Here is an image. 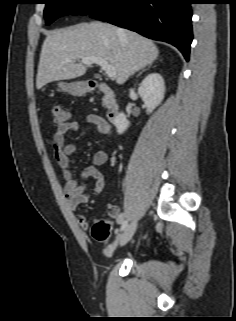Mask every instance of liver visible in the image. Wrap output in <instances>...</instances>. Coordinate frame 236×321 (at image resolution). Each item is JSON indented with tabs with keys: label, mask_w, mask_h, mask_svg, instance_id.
<instances>
[{
	"label": "liver",
	"mask_w": 236,
	"mask_h": 321,
	"mask_svg": "<svg viewBox=\"0 0 236 321\" xmlns=\"http://www.w3.org/2000/svg\"><path fill=\"white\" fill-rule=\"evenodd\" d=\"M159 50L149 39L108 23L90 22L47 33L42 45L36 87L81 77L87 67L78 61L101 57L116 68L115 80L125 83L135 72L152 64Z\"/></svg>",
	"instance_id": "1"
}]
</instances>
